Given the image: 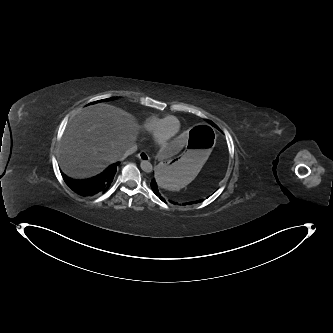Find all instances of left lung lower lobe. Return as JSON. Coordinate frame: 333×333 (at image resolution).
<instances>
[{
	"instance_id": "0a47b994",
	"label": "left lung lower lobe",
	"mask_w": 333,
	"mask_h": 333,
	"mask_svg": "<svg viewBox=\"0 0 333 333\" xmlns=\"http://www.w3.org/2000/svg\"><path fill=\"white\" fill-rule=\"evenodd\" d=\"M151 188H152L153 192H154L155 194H157L158 196H160V195L163 193L162 190H161V186L158 185V184L155 182V179H153V180L151 181ZM188 204H190V203H188Z\"/></svg>"
}]
</instances>
